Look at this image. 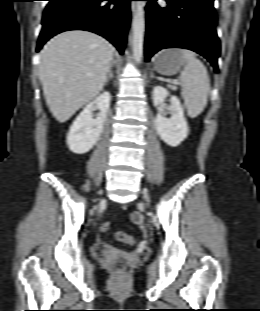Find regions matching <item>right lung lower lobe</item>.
I'll list each match as a JSON object with an SVG mask.
<instances>
[{
    "label": "right lung lower lobe",
    "mask_w": 260,
    "mask_h": 311,
    "mask_svg": "<svg viewBox=\"0 0 260 311\" xmlns=\"http://www.w3.org/2000/svg\"><path fill=\"white\" fill-rule=\"evenodd\" d=\"M48 1L37 51L60 32L86 30L105 37L123 53L131 18V0Z\"/></svg>",
    "instance_id": "right-lung-lower-lobe-1"
}]
</instances>
